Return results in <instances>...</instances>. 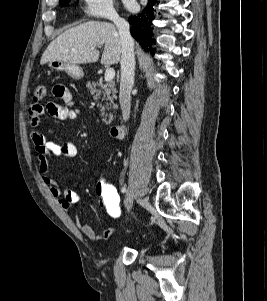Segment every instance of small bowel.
I'll list each match as a JSON object with an SVG mask.
<instances>
[{"mask_svg":"<svg viewBox=\"0 0 267 301\" xmlns=\"http://www.w3.org/2000/svg\"><path fill=\"white\" fill-rule=\"evenodd\" d=\"M54 98L63 102L60 104L55 101H50L46 106L37 102L33 103L28 110V122L31 127V139L37 153V163L40 171V176L47 186L50 193L60 198V204L64 211L70 212L73 206L79 201V194L71 189L65 188L62 193L59 187L54 183L49 174L48 158L49 156H58L67 159H73L77 154L76 146L71 142L58 144L47 139L38 129L41 117L44 113L59 120L75 119L78 115V110L74 107V101L69 89L63 84H57L52 89ZM76 227L89 239L94 241H103L110 238L115 232V228L111 227L102 232L96 230L87 222H85L79 214L74 217Z\"/></svg>","mask_w":267,"mask_h":301,"instance_id":"small-bowel-1","label":"small bowel"}]
</instances>
